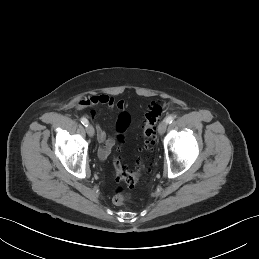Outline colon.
<instances>
[{
	"instance_id": "colon-1",
	"label": "colon",
	"mask_w": 259,
	"mask_h": 259,
	"mask_svg": "<svg viewBox=\"0 0 259 259\" xmlns=\"http://www.w3.org/2000/svg\"><path fill=\"white\" fill-rule=\"evenodd\" d=\"M163 105L159 102H152L145 112V120L143 125V142L146 149L150 148L156 141V125L163 113ZM131 117L127 112H121L115 123V132L118 143L123 140V134L129 127ZM115 177L117 181L124 182L130 188H133L140 181L142 171L145 168L143 163L137 171L127 170L118 158L113 160ZM129 194L122 186H117L113 192L112 200L115 204H123L129 199Z\"/></svg>"
}]
</instances>
